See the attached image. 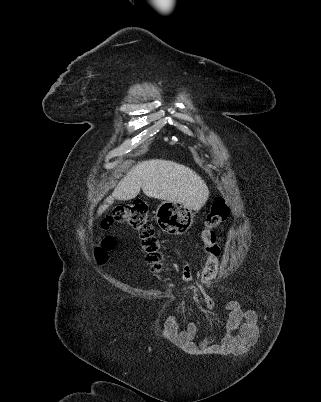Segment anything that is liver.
<instances>
[{"label": "liver", "mask_w": 321, "mask_h": 402, "mask_svg": "<svg viewBox=\"0 0 321 402\" xmlns=\"http://www.w3.org/2000/svg\"><path fill=\"white\" fill-rule=\"evenodd\" d=\"M140 189L150 198L184 203L193 210H199L209 197L207 185L195 171L173 161L152 159L133 167L99 206L97 214L101 215L115 199L135 198Z\"/></svg>", "instance_id": "liver-1"}]
</instances>
